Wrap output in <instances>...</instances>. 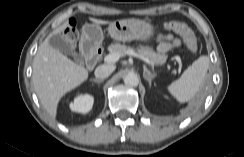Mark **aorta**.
<instances>
[{"label": "aorta", "instance_id": "obj_1", "mask_svg": "<svg viewBox=\"0 0 244 157\" xmlns=\"http://www.w3.org/2000/svg\"><path fill=\"white\" fill-rule=\"evenodd\" d=\"M124 83L128 86H137L139 83L138 76L134 73H129L124 77Z\"/></svg>", "mask_w": 244, "mask_h": 157}]
</instances>
